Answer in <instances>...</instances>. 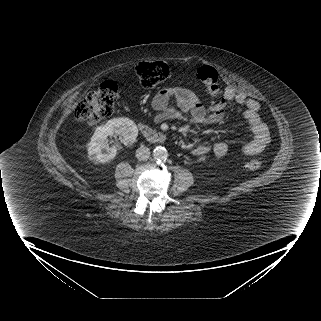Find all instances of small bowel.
Instances as JSON below:
<instances>
[{"label":"small bowel","mask_w":321,"mask_h":321,"mask_svg":"<svg viewBox=\"0 0 321 321\" xmlns=\"http://www.w3.org/2000/svg\"><path fill=\"white\" fill-rule=\"evenodd\" d=\"M236 103L243 106L242 118L247 123L252 137L242 145V152L256 155L264 150L270 141V132L259 115L260 104L257 100L233 88H227L224 100L213 106H205L200 97L191 89L171 87L157 93L153 99L156 110V121L184 120L196 124H218L226 115V103ZM228 144L218 141L212 146L199 145L192 150L195 156L204 155L210 151L216 158H224L228 154Z\"/></svg>","instance_id":"obj_1"}]
</instances>
